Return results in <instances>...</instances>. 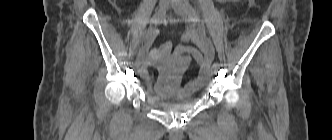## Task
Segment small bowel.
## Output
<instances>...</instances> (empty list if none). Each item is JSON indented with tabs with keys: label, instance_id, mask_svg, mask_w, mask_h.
Returning a JSON list of instances; mask_svg holds the SVG:
<instances>
[{
	"label": "small bowel",
	"instance_id": "c3829d8e",
	"mask_svg": "<svg viewBox=\"0 0 332 140\" xmlns=\"http://www.w3.org/2000/svg\"><path fill=\"white\" fill-rule=\"evenodd\" d=\"M219 3H236L240 0H217ZM193 42L198 49L184 45L187 42ZM179 44L174 47L173 53L175 55H180L185 52L191 53L194 58L200 64V73L197 79L188 82L185 86H182V77L179 73L173 74L165 67L161 65L163 58L158 56V49H152L148 58L144 61L140 68L141 76L147 81V83L152 84L148 68L150 66H156L159 69V77L154 83V90L157 94L161 96H181L184 93L191 91L197 87H200L206 82L209 77L210 65L214 59V48L211 42L202 36H198L192 32H186L182 34L179 38ZM152 43V38L148 42V47Z\"/></svg>",
	"mask_w": 332,
	"mask_h": 140
}]
</instances>
